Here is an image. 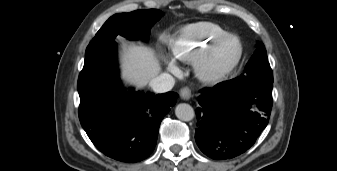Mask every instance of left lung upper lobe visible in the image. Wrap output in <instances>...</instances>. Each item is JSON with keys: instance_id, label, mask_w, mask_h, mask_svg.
I'll use <instances>...</instances> for the list:
<instances>
[{"instance_id": "obj_1", "label": "left lung upper lobe", "mask_w": 337, "mask_h": 171, "mask_svg": "<svg viewBox=\"0 0 337 171\" xmlns=\"http://www.w3.org/2000/svg\"><path fill=\"white\" fill-rule=\"evenodd\" d=\"M245 75L273 78L272 70L266 54V49L262 43L258 44L255 53L245 67L244 73L241 74V76Z\"/></svg>"}]
</instances>
